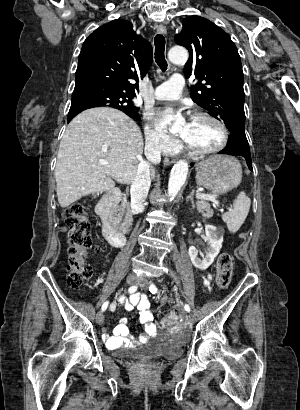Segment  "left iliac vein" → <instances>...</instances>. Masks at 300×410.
Segmentation results:
<instances>
[{
    "instance_id": "left-iliac-vein-1",
    "label": "left iliac vein",
    "mask_w": 300,
    "mask_h": 410,
    "mask_svg": "<svg viewBox=\"0 0 300 410\" xmlns=\"http://www.w3.org/2000/svg\"><path fill=\"white\" fill-rule=\"evenodd\" d=\"M137 285L139 287H141L142 289H147L148 285H149V282H148L147 278L141 277V278L138 279ZM186 318L190 322L193 321V316L191 314H186Z\"/></svg>"
}]
</instances>
